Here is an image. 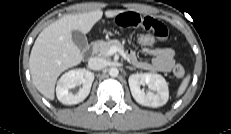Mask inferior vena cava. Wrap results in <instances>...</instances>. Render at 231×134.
Masks as SVG:
<instances>
[{
    "mask_svg": "<svg viewBox=\"0 0 231 134\" xmlns=\"http://www.w3.org/2000/svg\"><path fill=\"white\" fill-rule=\"evenodd\" d=\"M106 66H107V61L99 57L90 58L88 62V68L91 70H101Z\"/></svg>",
    "mask_w": 231,
    "mask_h": 134,
    "instance_id": "1",
    "label": "inferior vena cava"
}]
</instances>
